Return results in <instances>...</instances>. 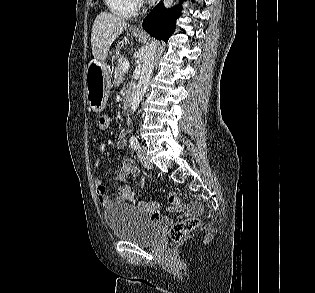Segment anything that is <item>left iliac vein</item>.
<instances>
[{
	"label": "left iliac vein",
	"instance_id": "left-iliac-vein-1",
	"mask_svg": "<svg viewBox=\"0 0 315 293\" xmlns=\"http://www.w3.org/2000/svg\"><path fill=\"white\" fill-rule=\"evenodd\" d=\"M138 158L141 162V164L147 168V169H152L153 167V164L151 163L148 155H147V152H146V148L144 146H141L139 149H138Z\"/></svg>",
	"mask_w": 315,
	"mask_h": 293
}]
</instances>
